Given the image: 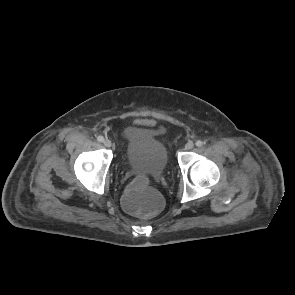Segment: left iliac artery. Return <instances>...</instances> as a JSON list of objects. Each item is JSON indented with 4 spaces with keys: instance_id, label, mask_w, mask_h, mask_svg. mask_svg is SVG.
<instances>
[{
    "instance_id": "1",
    "label": "left iliac artery",
    "mask_w": 295,
    "mask_h": 295,
    "mask_svg": "<svg viewBox=\"0 0 295 295\" xmlns=\"http://www.w3.org/2000/svg\"><path fill=\"white\" fill-rule=\"evenodd\" d=\"M195 144L197 147H201L203 145V142L201 140H197Z\"/></svg>"
}]
</instances>
